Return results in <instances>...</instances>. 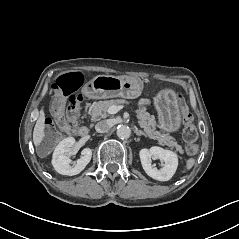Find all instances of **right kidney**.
Wrapping results in <instances>:
<instances>
[{"mask_svg":"<svg viewBox=\"0 0 239 239\" xmlns=\"http://www.w3.org/2000/svg\"><path fill=\"white\" fill-rule=\"evenodd\" d=\"M74 144V138H66L57 145L53 153L52 164L55 170L61 175L74 176L79 174L89 164L92 158V149L85 147L81 151V157L77 160L76 165L73 167L70 166L69 156L72 154Z\"/></svg>","mask_w":239,"mask_h":239,"instance_id":"1","label":"right kidney"}]
</instances>
